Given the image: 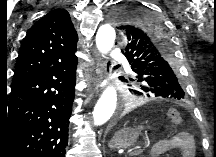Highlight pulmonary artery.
<instances>
[{
  "label": "pulmonary artery",
  "mask_w": 216,
  "mask_h": 157,
  "mask_svg": "<svg viewBox=\"0 0 216 157\" xmlns=\"http://www.w3.org/2000/svg\"><path fill=\"white\" fill-rule=\"evenodd\" d=\"M111 57H112L113 59H120V58L122 57V54H121V53H118V52H116V51H113V52H111Z\"/></svg>",
  "instance_id": "e3ab8cb5"
}]
</instances>
